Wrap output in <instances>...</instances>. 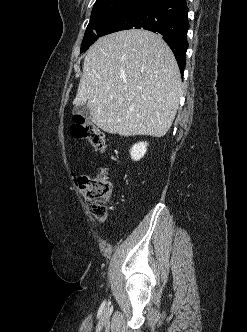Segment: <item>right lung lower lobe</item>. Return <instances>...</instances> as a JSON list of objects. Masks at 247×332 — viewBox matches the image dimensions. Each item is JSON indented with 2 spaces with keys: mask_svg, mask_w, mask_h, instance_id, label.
Listing matches in <instances>:
<instances>
[{
  "mask_svg": "<svg viewBox=\"0 0 247 332\" xmlns=\"http://www.w3.org/2000/svg\"><path fill=\"white\" fill-rule=\"evenodd\" d=\"M135 28L161 35L174 53L183 75L189 29L186 0H147L110 24L102 36Z\"/></svg>",
  "mask_w": 247,
  "mask_h": 332,
  "instance_id": "98d812e1",
  "label": "right lung lower lobe"
}]
</instances>
